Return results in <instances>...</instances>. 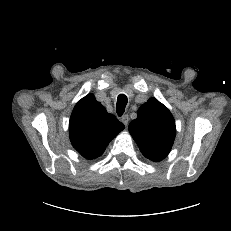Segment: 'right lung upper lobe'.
Wrapping results in <instances>:
<instances>
[{
    "instance_id": "cb5924a9",
    "label": "right lung upper lobe",
    "mask_w": 231,
    "mask_h": 231,
    "mask_svg": "<svg viewBox=\"0 0 231 231\" xmlns=\"http://www.w3.org/2000/svg\"><path fill=\"white\" fill-rule=\"evenodd\" d=\"M124 125L88 94L74 107L69 122L72 146L86 159H94L103 154Z\"/></svg>"
}]
</instances>
